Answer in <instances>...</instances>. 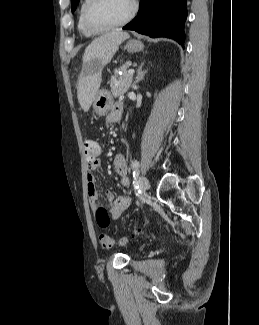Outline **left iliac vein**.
<instances>
[{
	"label": "left iliac vein",
	"instance_id": "obj_1",
	"mask_svg": "<svg viewBox=\"0 0 259 325\" xmlns=\"http://www.w3.org/2000/svg\"><path fill=\"white\" fill-rule=\"evenodd\" d=\"M139 184L143 191H147L150 188L149 181L145 176L139 178Z\"/></svg>",
	"mask_w": 259,
	"mask_h": 325
}]
</instances>
